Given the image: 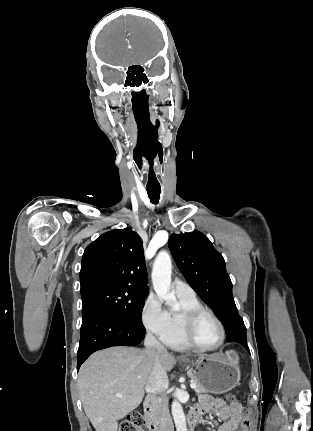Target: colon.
<instances>
[{
    "label": "colon",
    "mask_w": 313,
    "mask_h": 431,
    "mask_svg": "<svg viewBox=\"0 0 313 431\" xmlns=\"http://www.w3.org/2000/svg\"><path fill=\"white\" fill-rule=\"evenodd\" d=\"M226 399L231 403H235L236 396L233 393H228ZM148 427L147 417L139 412L131 414L120 425L119 431H146Z\"/></svg>",
    "instance_id": "1"
}]
</instances>
